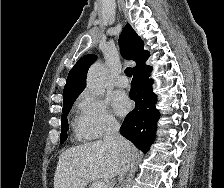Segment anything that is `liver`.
<instances>
[{"instance_id":"obj_1","label":"liver","mask_w":224,"mask_h":188,"mask_svg":"<svg viewBox=\"0 0 224 188\" xmlns=\"http://www.w3.org/2000/svg\"><path fill=\"white\" fill-rule=\"evenodd\" d=\"M120 167L121 153L104 141L71 147L59 156L54 188H85L97 178H114Z\"/></svg>"}]
</instances>
